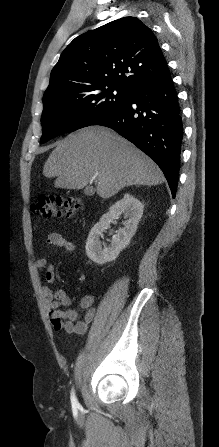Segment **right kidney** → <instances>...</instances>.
I'll list each match as a JSON object with an SVG mask.
<instances>
[{
	"mask_svg": "<svg viewBox=\"0 0 219 447\" xmlns=\"http://www.w3.org/2000/svg\"><path fill=\"white\" fill-rule=\"evenodd\" d=\"M143 208V204L130 194H125L122 199L113 204L108 212L102 215L100 221L93 226L88 235L85 246L88 258L98 265L115 260L135 235ZM121 215L125 219L124 227L120 228L118 233L112 237L108 247L102 248L100 236L105 229L110 227V223L119 219Z\"/></svg>",
	"mask_w": 219,
	"mask_h": 447,
	"instance_id": "right-kidney-1",
	"label": "right kidney"
}]
</instances>
